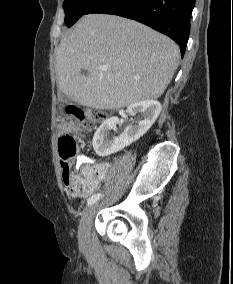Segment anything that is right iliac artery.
Returning <instances> with one entry per match:
<instances>
[{"mask_svg": "<svg viewBox=\"0 0 233 284\" xmlns=\"http://www.w3.org/2000/svg\"><path fill=\"white\" fill-rule=\"evenodd\" d=\"M103 195L101 193H97L92 195L88 201H87V205L90 206L92 204H94L95 202H97Z\"/></svg>", "mask_w": 233, "mask_h": 284, "instance_id": "1", "label": "right iliac artery"}]
</instances>
